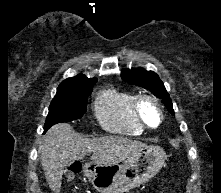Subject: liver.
I'll return each mask as SVG.
<instances>
[{"mask_svg":"<svg viewBox=\"0 0 221 193\" xmlns=\"http://www.w3.org/2000/svg\"><path fill=\"white\" fill-rule=\"evenodd\" d=\"M144 147L145 143L118 136L83 138L70 124L59 123L47 131L39 151L48 185L53 192L59 193L64 168L70 163L93 153L91 160L94 164H118Z\"/></svg>","mask_w":221,"mask_h":193,"instance_id":"liver-1","label":"liver"}]
</instances>
